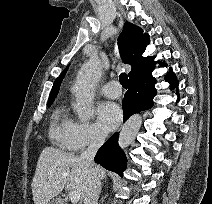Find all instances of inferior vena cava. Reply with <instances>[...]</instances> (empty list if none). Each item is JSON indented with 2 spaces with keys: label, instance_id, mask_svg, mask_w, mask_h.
<instances>
[{
  "label": "inferior vena cava",
  "instance_id": "inferior-vena-cava-1",
  "mask_svg": "<svg viewBox=\"0 0 212 204\" xmlns=\"http://www.w3.org/2000/svg\"><path fill=\"white\" fill-rule=\"evenodd\" d=\"M106 136L107 134L103 131L95 132L91 137L88 148L80 155V159L85 163L88 169L83 197L84 204H98L101 183L96 166L94 165V157L98 149L103 145Z\"/></svg>",
  "mask_w": 212,
  "mask_h": 204
}]
</instances>
